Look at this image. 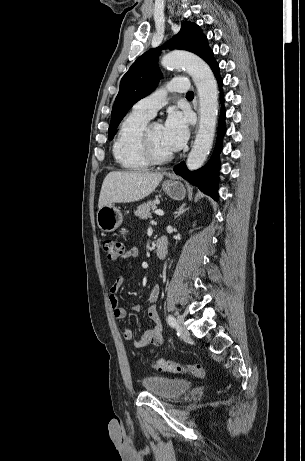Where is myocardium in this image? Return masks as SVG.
<instances>
[{
  "mask_svg": "<svg viewBox=\"0 0 305 461\" xmlns=\"http://www.w3.org/2000/svg\"><path fill=\"white\" fill-rule=\"evenodd\" d=\"M153 124L154 123H149L144 127L142 136H141V148H142V152L145 158L150 163L162 164V163L170 161L173 158V154L168 153V154L161 155L155 151L154 146L152 144V140H151V127Z\"/></svg>",
  "mask_w": 305,
  "mask_h": 461,
  "instance_id": "myocardium-1",
  "label": "myocardium"
}]
</instances>
